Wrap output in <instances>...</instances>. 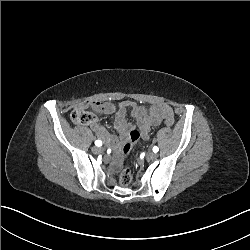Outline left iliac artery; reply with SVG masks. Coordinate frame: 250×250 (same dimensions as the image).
<instances>
[{
	"label": "left iliac artery",
	"mask_w": 250,
	"mask_h": 250,
	"mask_svg": "<svg viewBox=\"0 0 250 250\" xmlns=\"http://www.w3.org/2000/svg\"><path fill=\"white\" fill-rule=\"evenodd\" d=\"M158 151H159V148H158L157 146H154V147H153V152H154V153H157Z\"/></svg>",
	"instance_id": "44dca946"
}]
</instances>
